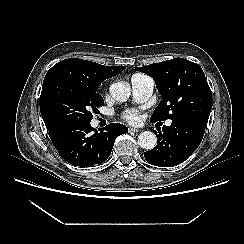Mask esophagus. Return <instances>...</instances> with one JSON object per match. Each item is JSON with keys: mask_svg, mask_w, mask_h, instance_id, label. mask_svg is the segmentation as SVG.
I'll list each match as a JSON object with an SVG mask.
<instances>
[{"mask_svg": "<svg viewBox=\"0 0 244 244\" xmlns=\"http://www.w3.org/2000/svg\"><path fill=\"white\" fill-rule=\"evenodd\" d=\"M140 130L137 128L130 127L129 132H139Z\"/></svg>", "mask_w": 244, "mask_h": 244, "instance_id": "34e87169", "label": "esophagus"}]
</instances>
